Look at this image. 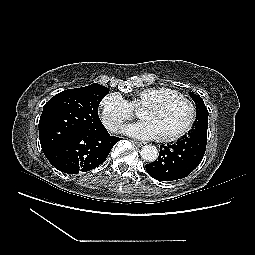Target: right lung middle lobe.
I'll return each mask as SVG.
<instances>
[{
    "instance_id": "obj_1",
    "label": "right lung middle lobe",
    "mask_w": 255,
    "mask_h": 255,
    "mask_svg": "<svg viewBox=\"0 0 255 255\" xmlns=\"http://www.w3.org/2000/svg\"><path fill=\"white\" fill-rule=\"evenodd\" d=\"M108 92L109 88L94 83L67 89L45 104L39 121V138L45 156L73 133L105 130L98 106Z\"/></svg>"
}]
</instances>
